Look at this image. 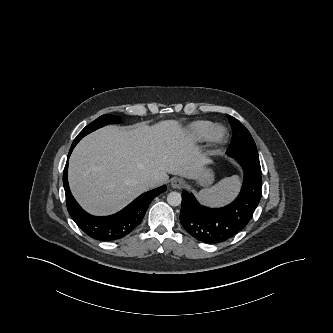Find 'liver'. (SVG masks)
<instances>
[{"mask_svg": "<svg viewBox=\"0 0 333 333\" xmlns=\"http://www.w3.org/2000/svg\"><path fill=\"white\" fill-rule=\"evenodd\" d=\"M206 158L175 120L107 126L84 137L69 161V185L94 215L114 213L169 174L198 179ZM155 179V185L146 180Z\"/></svg>", "mask_w": 333, "mask_h": 333, "instance_id": "liver-1", "label": "liver"}]
</instances>
